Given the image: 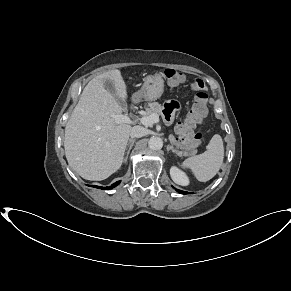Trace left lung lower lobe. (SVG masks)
Returning a JSON list of instances; mask_svg holds the SVG:
<instances>
[{"instance_id":"1","label":"left lung lower lobe","mask_w":291,"mask_h":291,"mask_svg":"<svg viewBox=\"0 0 291 291\" xmlns=\"http://www.w3.org/2000/svg\"><path fill=\"white\" fill-rule=\"evenodd\" d=\"M177 191L181 194H188L187 192H184V191H180V190H177Z\"/></svg>"}]
</instances>
